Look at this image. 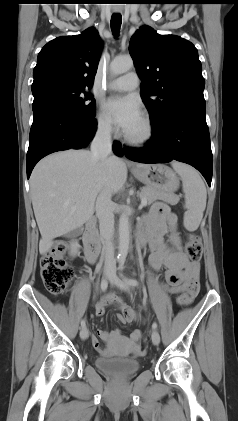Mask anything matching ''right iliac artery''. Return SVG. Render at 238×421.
Segmentation results:
<instances>
[{
  "label": "right iliac artery",
  "mask_w": 238,
  "mask_h": 421,
  "mask_svg": "<svg viewBox=\"0 0 238 421\" xmlns=\"http://www.w3.org/2000/svg\"><path fill=\"white\" fill-rule=\"evenodd\" d=\"M107 286H108V281L106 278H103V280L101 281V286H100L101 291H105L107 289ZM81 326L82 328L86 326V322L84 319L81 321Z\"/></svg>",
  "instance_id": "right-iliac-artery-1"
}]
</instances>
